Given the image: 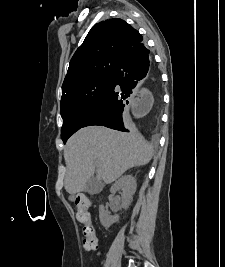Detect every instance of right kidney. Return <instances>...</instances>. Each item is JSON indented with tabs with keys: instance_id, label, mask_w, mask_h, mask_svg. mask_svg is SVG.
<instances>
[{
	"instance_id": "ca27d5eb",
	"label": "right kidney",
	"mask_w": 225,
	"mask_h": 267,
	"mask_svg": "<svg viewBox=\"0 0 225 267\" xmlns=\"http://www.w3.org/2000/svg\"><path fill=\"white\" fill-rule=\"evenodd\" d=\"M137 183L136 179L132 175H125L122 176L120 179H118L110 188V192L112 194H115L118 191H122L121 193V202H122V208L128 209L132 199L133 195L136 191ZM99 218L101 224L105 228H109L113 223L118 222L119 216L114 215L111 216L108 214V212L105 210L104 206L101 205L99 208Z\"/></svg>"
}]
</instances>
